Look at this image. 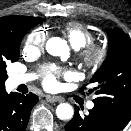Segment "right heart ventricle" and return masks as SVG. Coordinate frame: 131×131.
<instances>
[{
	"mask_svg": "<svg viewBox=\"0 0 131 131\" xmlns=\"http://www.w3.org/2000/svg\"><path fill=\"white\" fill-rule=\"evenodd\" d=\"M63 31L68 41L75 49H81L92 43L95 39L93 31L79 22L71 21L66 23Z\"/></svg>",
	"mask_w": 131,
	"mask_h": 131,
	"instance_id": "1",
	"label": "right heart ventricle"
}]
</instances>
